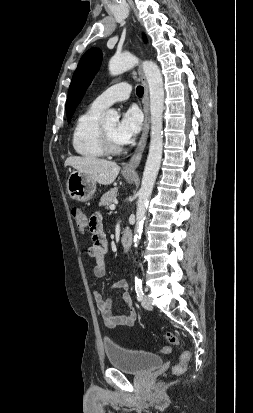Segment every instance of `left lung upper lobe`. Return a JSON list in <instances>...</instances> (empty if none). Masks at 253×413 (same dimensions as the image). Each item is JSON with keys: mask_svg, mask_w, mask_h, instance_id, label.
Returning <instances> with one entry per match:
<instances>
[{"mask_svg": "<svg viewBox=\"0 0 253 413\" xmlns=\"http://www.w3.org/2000/svg\"><path fill=\"white\" fill-rule=\"evenodd\" d=\"M102 61V52L91 48L82 56L74 72L66 101L67 120L70 122L74 110L97 73Z\"/></svg>", "mask_w": 253, "mask_h": 413, "instance_id": "1", "label": "left lung upper lobe"}]
</instances>
